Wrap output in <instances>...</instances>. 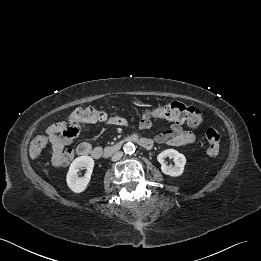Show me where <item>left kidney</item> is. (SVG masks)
<instances>
[{"label":"left kidney","instance_id":"1","mask_svg":"<svg viewBox=\"0 0 261 261\" xmlns=\"http://www.w3.org/2000/svg\"><path fill=\"white\" fill-rule=\"evenodd\" d=\"M166 157L172 158L174 160L175 165L168 166L164 160ZM157 160L161 164L162 172L171 177L180 176L183 173L184 166L186 164L185 156L174 149H166L162 151L157 156Z\"/></svg>","mask_w":261,"mask_h":261}]
</instances>
